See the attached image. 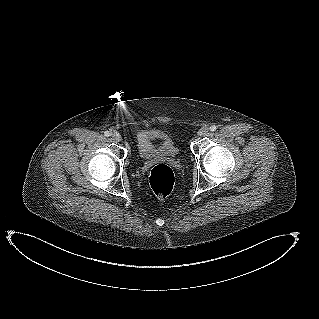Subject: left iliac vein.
<instances>
[{
  "instance_id": "left-iliac-vein-1",
  "label": "left iliac vein",
  "mask_w": 319,
  "mask_h": 319,
  "mask_svg": "<svg viewBox=\"0 0 319 319\" xmlns=\"http://www.w3.org/2000/svg\"><path fill=\"white\" fill-rule=\"evenodd\" d=\"M209 132V128L208 127H202L199 131H198V135L199 136H205L207 135Z\"/></svg>"
}]
</instances>
